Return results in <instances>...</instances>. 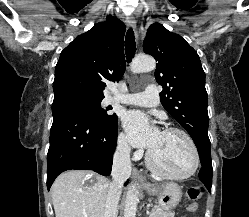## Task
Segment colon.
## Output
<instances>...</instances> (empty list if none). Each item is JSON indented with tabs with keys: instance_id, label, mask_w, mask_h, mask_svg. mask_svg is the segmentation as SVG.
Returning a JSON list of instances; mask_svg holds the SVG:
<instances>
[{
	"instance_id": "colon-1",
	"label": "colon",
	"mask_w": 249,
	"mask_h": 217,
	"mask_svg": "<svg viewBox=\"0 0 249 217\" xmlns=\"http://www.w3.org/2000/svg\"><path fill=\"white\" fill-rule=\"evenodd\" d=\"M203 193L204 191L200 187H192L188 189L186 196L191 201V203L187 206L188 212L192 213L197 210V201L203 196Z\"/></svg>"
}]
</instances>
